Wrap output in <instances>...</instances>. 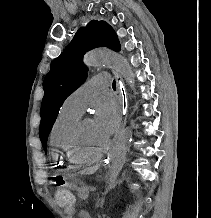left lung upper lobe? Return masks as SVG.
Listing matches in <instances>:
<instances>
[{
  "instance_id": "left-lung-upper-lobe-1",
  "label": "left lung upper lobe",
  "mask_w": 211,
  "mask_h": 218,
  "mask_svg": "<svg viewBox=\"0 0 211 218\" xmlns=\"http://www.w3.org/2000/svg\"><path fill=\"white\" fill-rule=\"evenodd\" d=\"M97 47L120 50V43L113 28L105 21L92 20L80 28L63 53L53 60L43 81L44 97L41 104L40 139L44 149L48 135L65 99L86 79L84 54Z\"/></svg>"
}]
</instances>
